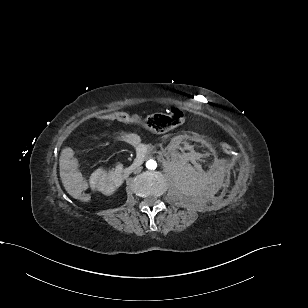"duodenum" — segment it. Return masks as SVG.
I'll use <instances>...</instances> for the list:
<instances>
[{"instance_id": "410a0bca", "label": "duodenum", "mask_w": 308, "mask_h": 308, "mask_svg": "<svg viewBox=\"0 0 308 308\" xmlns=\"http://www.w3.org/2000/svg\"><path fill=\"white\" fill-rule=\"evenodd\" d=\"M146 154H147L146 149H141L138 152L134 161L120 173V182L123 179L127 178L133 172L134 169H136V168H138L142 165Z\"/></svg>"}]
</instances>
